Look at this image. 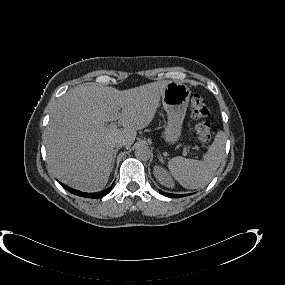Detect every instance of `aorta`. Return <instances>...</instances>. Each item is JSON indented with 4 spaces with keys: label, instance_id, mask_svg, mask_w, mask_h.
<instances>
[{
    "label": "aorta",
    "instance_id": "aorta-1",
    "mask_svg": "<svg viewBox=\"0 0 285 285\" xmlns=\"http://www.w3.org/2000/svg\"><path fill=\"white\" fill-rule=\"evenodd\" d=\"M135 156L139 160L147 161L150 159L151 151L148 146L141 144L136 147Z\"/></svg>",
    "mask_w": 285,
    "mask_h": 285
}]
</instances>
